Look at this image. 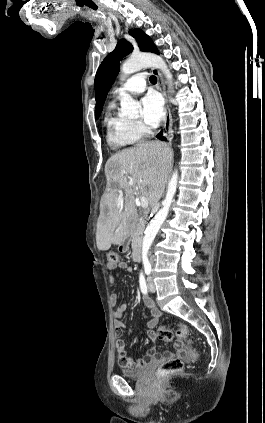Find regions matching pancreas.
<instances>
[{
  "instance_id": "pancreas-1",
  "label": "pancreas",
  "mask_w": 265,
  "mask_h": 423,
  "mask_svg": "<svg viewBox=\"0 0 265 423\" xmlns=\"http://www.w3.org/2000/svg\"><path fill=\"white\" fill-rule=\"evenodd\" d=\"M143 231H144V221H140L138 222V224L136 225V227L133 229L131 233L133 244L137 245L140 243Z\"/></svg>"
}]
</instances>
